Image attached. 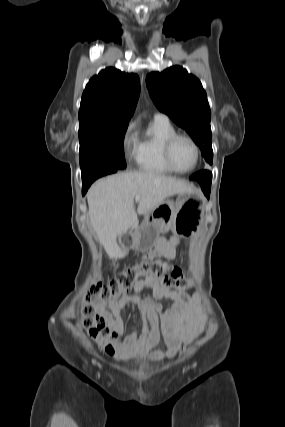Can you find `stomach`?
I'll return each mask as SVG.
<instances>
[{
  "label": "stomach",
  "mask_w": 285,
  "mask_h": 427,
  "mask_svg": "<svg viewBox=\"0 0 285 427\" xmlns=\"http://www.w3.org/2000/svg\"><path fill=\"white\" fill-rule=\"evenodd\" d=\"M205 204L198 192L178 194L145 215L131 235L130 246L138 250L151 248L161 233L168 231L184 237L194 234L203 223Z\"/></svg>",
  "instance_id": "1"
}]
</instances>
